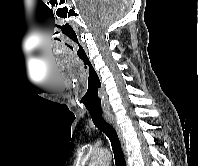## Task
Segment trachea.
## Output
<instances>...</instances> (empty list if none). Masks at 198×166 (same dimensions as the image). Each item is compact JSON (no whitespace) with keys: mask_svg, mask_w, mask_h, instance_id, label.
Wrapping results in <instances>:
<instances>
[{"mask_svg":"<svg viewBox=\"0 0 198 166\" xmlns=\"http://www.w3.org/2000/svg\"><path fill=\"white\" fill-rule=\"evenodd\" d=\"M90 115L95 126L109 138L116 166H126L121 143L113 126L104 119L102 113H90Z\"/></svg>","mask_w":198,"mask_h":166,"instance_id":"1","label":"trachea"}]
</instances>
